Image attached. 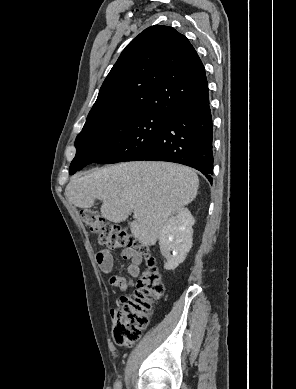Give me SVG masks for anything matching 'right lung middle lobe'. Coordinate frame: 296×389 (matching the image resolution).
I'll return each instance as SVG.
<instances>
[{"mask_svg": "<svg viewBox=\"0 0 296 389\" xmlns=\"http://www.w3.org/2000/svg\"><path fill=\"white\" fill-rule=\"evenodd\" d=\"M169 117L121 109L87 119L75 140L77 152L69 173L81 164L137 160L165 128Z\"/></svg>", "mask_w": 296, "mask_h": 389, "instance_id": "1", "label": "right lung middle lobe"}]
</instances>
